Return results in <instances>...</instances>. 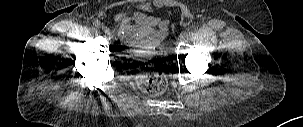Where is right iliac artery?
<instances>
[{"label": "right iliac artery", "instance_id": "1", "mask_svg": "<svg viewBox=\"0 0 303 127\" xmlns=\"http://www.w3.org/2000/svg\"><path fill=\"white\" fill-rule=\"evenodd\" d=\"M93 25L95 26V27H98V28H101L103 25L100 23V21L99 20H94L93 21Z\"/></svg>", "mask_w": 303, "mask_h": 127}]
</instances>
